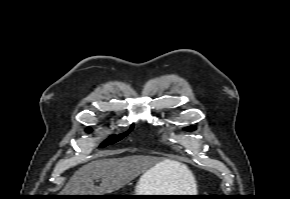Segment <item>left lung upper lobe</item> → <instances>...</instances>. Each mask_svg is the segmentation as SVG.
<instances>
[{"mask_svg":"<svg viewBox=\"0 0 290 199\" xmlns=\"http://www.w3.org/2000/svg\"><path fill=\"white\" fill-rule=\"evenodd\" d=\"M188 130H194V127H187Z\"/></svg>","mask_w":290,"mask_h":199,"instance_id":"5c2ea615","label":"left lung upper lobe"}]
</instances>
